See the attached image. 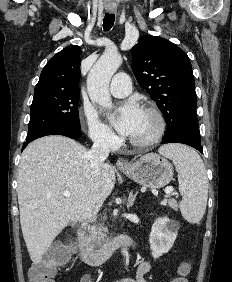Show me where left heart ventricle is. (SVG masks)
Segmentation results:
<instances>
[{
    "mask_svg": "<svg viewBox=\"0 0 232 282\" xmlns=\"http://www.w3.org/2000/svg\"><path fill=\"white\" fill-rule=\"evenodd\" d=\"M156 129L155 119L143 110L141 120L134 131L130 136L132 139L143 140L150 137Z\"/></svg>",
    "mask_w": 232,
    "mask_h": 282,
    "instance_id": "obj_1",
    "label": "left heart ventricle"
}]
</instances>
